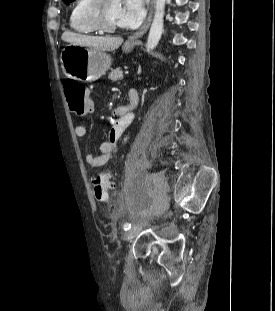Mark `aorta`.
<instances>
[{"instance_id": "obj_1", "label": "aorta", "mask_w": 275, "mask_h": 311, "mask_svg": "<svg viewBox=\"0 0 275 311\" xmlns=\"http://www.w3.org/2000/svg\"><path fill=\"white\" fill-rule=\"evenodd\" d=\"M165 3L166 0H156L155 14L146 43L147 50H153L161 39L164 27Z\"/></svg>"}]
</instances>
